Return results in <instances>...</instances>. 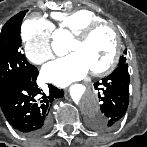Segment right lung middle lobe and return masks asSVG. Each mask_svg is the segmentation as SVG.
<instances>
[{"mask_svg": "<svg viewBox=\"0 0 147 147\" xmlns=\"http://www.w3.org/2000/svg\"><path fill=\"white\" fill-rule=\"evenodd\" d=\"M24 16L25 12L22 11L12 17L0 33V87L37 72L20 48V27Z\"/></svg>", "mask_w": 147, "mask_h": 147, "instance_id": "right-lung-middle-lobe-1", "label": "right lung middle lobe"}]
</instances>
